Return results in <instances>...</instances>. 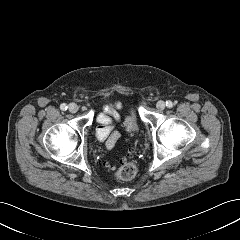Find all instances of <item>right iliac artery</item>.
<instances>
[{"instance_id": "1", "label": "right iliac artery", "mask_w": 240, "mask_h": 240, "mask_svg": "<svg viewBox=\"0 0 240 240\" xmlns=\"http://www.w3.org/2000/svg\"><path fill=\"white\" fill-rule=\"evenodd\" d=\"M67 108H68V106L65 103L60 105V109L63 110V111H66Z\"/></svg>"}]
</instances>
